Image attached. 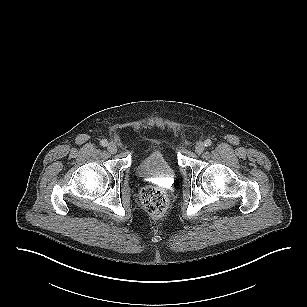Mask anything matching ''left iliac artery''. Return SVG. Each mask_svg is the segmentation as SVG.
Masks as SVG:
<instances>
[{
	"instance_id": "44dca946",
	"label": "left iliac artery",
	"mask_w": 307,
	"mask_h": 307,
	"mask_svg": "<svg viewBox=\"0 0 307 307\" xmlns=\"http://www.w3.org/2000/svg\"><path fill=\"white\" fill-rule=\"evenodd\" d=\"M204 144H205L206 147H209V146H211L212 141L210 139H207V140H205Z\"/></svg>"
}]
</instances>
